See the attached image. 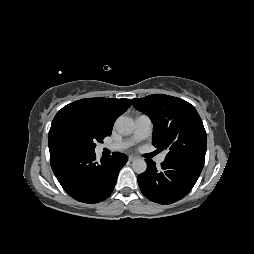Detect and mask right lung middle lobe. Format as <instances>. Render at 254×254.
Segmentation results:
<instances>
[{
  "mask_svg": "<svg viewBox=\"0 0 254 254\" xmlns=\"http://www.w3.org/2000/svg\"><path fill=\"white\" fill-rule=\"evenodd\" d=\"M110 134L95 120L71 116L64 119L57 128L56 138L59 145L94 150L96 142Z\"/></svg>",
  "mask_w": 254,
  "mask_h": 254,
  "instance_id": "right-lung-middle-lobe-1",
  "label": "right lung middle lobe"
}]
</instances>
